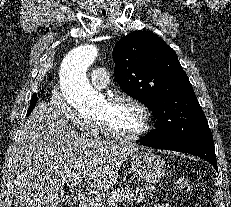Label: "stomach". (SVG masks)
<instances>
[{"label": "stomach", "instance_id": "obj_1", "mask_svg": "<svg viewBox=\"0 0 231 207\" xmlns=\"http://www.w3.org/2000/svg\"><path fill=\"white\" fill-rule=\"evenodd\" d=\"M130 170L133 176L142 183H156L166 172L165 161L159 155L141 150L131 156Z\"/></svg>", "mask_w": 231, "mask_h": 207}]
</instances>
